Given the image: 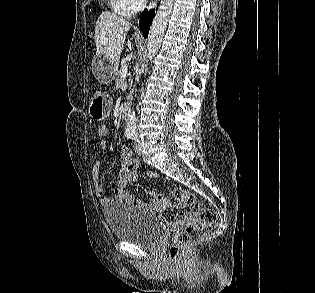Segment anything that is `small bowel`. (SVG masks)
Returning <instances> with one entry per match:
<instances>
[{
  "instance_id": "1",
  "label": "small bowel",
  "mask_w": 315,
  "mask_h": 293,
  "mask_svg": "<svg viewBox=\"0 0 315 293\" xmlns=\"http://www.w3.org/2000/svg\"><path fill=\"white\" fill-rule=\"evenodd\" d=\"M108 147L106 140H101L100 148L105 150ZM122 161L120 169L117 175L115 195L113 197L104 196V190L100 182L99 171L100 162H96L92 167V182L96 195L100 198V203L103 207L108 206L114 202H126L134 206L143 207L156 215H161L168 208H181V204L173 205L162 195L147 190L146 193L149 195L150 200L143 201L133 196L127 187L133 185L137 181L136 170L140 165L138 159L133 158L127 147L122 146L120 149ZM148 177H156L155 173H149ZM192 218L191 213L182 212L171 216L169 219L162 218L163 222L170 226L175 227L177 230L183 228L181 225L185 220Z\"/></svg>"
}]
</instances>
